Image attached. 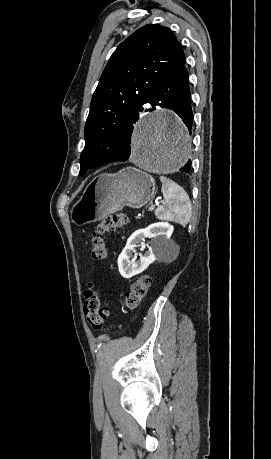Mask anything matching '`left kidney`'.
Wrapping results in <instances>:
<instances>
[{
	"mask_svg": "<svg viewBox=\"0 0 271 459\" xmlns=\"http://www.w3.org/2000/svg\"><path fill=\"white\" fill-rule=\"evenodd\" d=\"M173 231V226L167 224V222H157V224H151L148 228L136 229L134 233H131L126 241L124 249H122L118 257V267L123 277H132L136 273H141L149 263L155 261V253L165 251L170 233ZM145 237H153L149 243H141L144 247H148V251L144 255H140V259L135 261V257H132V251L134 247H138L136 243L144 241Z\"/></svg>",
	"mask_w": 271,
	"mask_h": 459,
	"instance_id": "left-kidney-1",
	"label": "left kidney"
}]
</instances>
